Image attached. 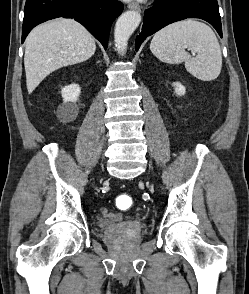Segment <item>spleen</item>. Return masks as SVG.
Instances as JSON below:
<instances>
[{"mask_svg":"<svg viewBox=\"0 0 249 294\" xmlns=\"http://www.w3.org/2000/svg\"><path fill=\"white\" fill-rule=\"evenodd\" d=\"M185 48L197 55L191 56ZM150 50L162 62H184L186 70L202 81H212L221 72L222 54L215 33L208 25L194 19L178 21L158 31Z\"/></svg>","mask_w":249,"mask_h":294,"instance_id":"spleen-1","label":"spleen"}]
</instances>
